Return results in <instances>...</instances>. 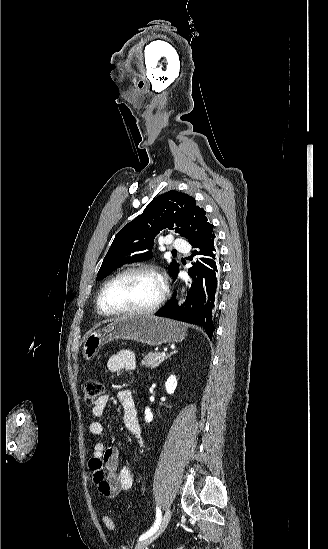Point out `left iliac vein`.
<instances>
[{
	"label": "left iliac vein",
	"mask_w": 328,
	"mask_h": 549,
	"mask_svg": "<svg viewBox=\"0 0 328 549\" xmlns=\"http://www.w3.org/2000/svg\"><path fill=\"white\" fill-rule=\"evenodd\" d=\"M170 516H171V511H170V508H167L165 510V513H164V516L157 528V530L150 536H148L147 538H145L144 540H142L141 542H139L134 549H144L147 545H149L154 539L158 538L162 532L165 530V528L167 527L168 523H169V520H170Z\"/></svg>",
	"instance_id": "1"
}]
</instances>
